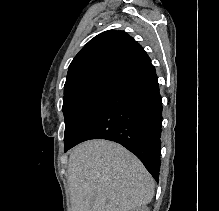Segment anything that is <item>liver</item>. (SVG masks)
I'll list each match as a JSON object with an SVG mask.
<instances>
[{
    "label": "liver",
    "instance_id": "liver-1",
    "mask_svg": "<svg viewBox=\"0 0 219 211\" xmlns=\"http://www.w3.org/2000/svg\"><path fill=\"white\" fill-rule=\"evenodd\" d=\"M67 181L72 211H135L151 201L155 187L142 161L109 139L73 147Z\"/></svg>",
    "mask_w": 219,
    "mask_h": 211
}]
</instances>
